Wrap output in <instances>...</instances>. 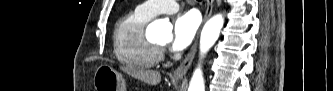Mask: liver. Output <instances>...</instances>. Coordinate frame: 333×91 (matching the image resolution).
<instances>
[{"instance_id": "liver-1", "label": "liver", "mask_w": 333, "mask_h": 91, "mask_svg": "<svg viewBox=\"0 0 333 91\" xmlns=\"http://www.w3.org/2000/svg\"><path fill=\"white\" fill-rule=\"evenodd\" d=\"M120 69L123 72L131 75L132 77L143 81L149 85H157L161 81V74L158 71L154 70H145L142 68H133L130 66H122Z\"/></svg>"}]
</instances>
